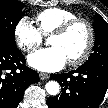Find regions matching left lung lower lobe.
Wrapping results in <instances>:
<instances>
[{"label":"left lung lower lobe","instance_id":"1","mask_svg":"<svg viewBox=\"0 0 108 108\" xmlns=\"http://www.w3.org/2000/svg\"><path fill=\"white\" fill-rule=\"evenodd\" d=\"M51 78L59 82L62 93L47 100L48 108H98L108 90V62L93 61ZM70 92H76L73 99Z\"/></svg>","mask_w":108,"mask_h":108}]
</instances>
